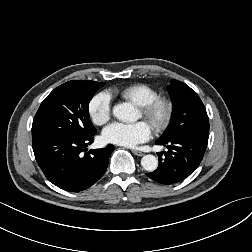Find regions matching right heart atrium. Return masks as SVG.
Masks as SVG:
<instances>
[{
  "mask_svg": "<svg viewBox=\"0 0 252 252\" xmlns=\"http://www.w3.org/2000/svg\"><path fill=\"white\" fill-rule=\"evenodd\" d=\"M87 111L95 125L106 124L111 118L110 96L104 92L95 94L88 103Z\"/></svg>",
  "mask_w": 252,
  "mask_h": 252,
  "instance_id": "obj_1",
  "label": "right heart atrium"
}]
</instances>
